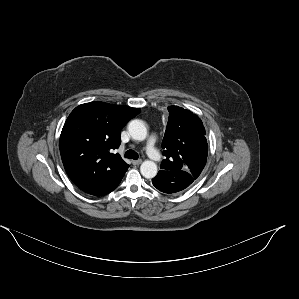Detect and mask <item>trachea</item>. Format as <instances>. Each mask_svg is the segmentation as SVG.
Here are the masks:
<instances>
[{
	"instance_id": "3493384b",
	"label": "trachea",
	"mask_w": 299,
	"mask_h": 299,
	"mask_svg": "<svg viewBox=\"0 0 299 299\" xmlns=\"http://www.w3.org/2000/svg\"><path fill=\"white\" fill-rule=\"evenodd\" d=\"M138 153H136L135 151L133 150H127L125 152V158H129V159H134V160H137L138 159Z\"/></svg>"
}]
</instances>
